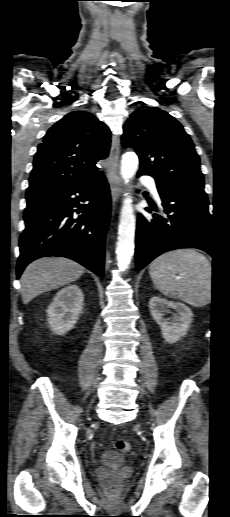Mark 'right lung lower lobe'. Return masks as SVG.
<instances>
[{
    "label": "right lung lower lobe",
    "instance_id": "right-lung-lower-lobe-1",
    "mask_svg": "<svg viewBox=\"0 0 230 517\" xmlns=\"http://www.w3.org/2000/svg\"><path fill=\"white\" fill-rule=\"evenodd\" d=\"M26 199L17 278L30 262L44 256L70 258L103 276L104 243L111 210L104 174L74 187ZM85 201L89 203L82 204Z\"/></svg>",
    "mask_w": 230,
    "mask_h": 517
}]
</instances>
